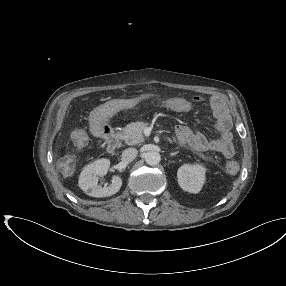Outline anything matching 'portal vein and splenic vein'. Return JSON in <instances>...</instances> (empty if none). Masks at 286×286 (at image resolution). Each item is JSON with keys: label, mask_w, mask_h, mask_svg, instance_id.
<instances>
[{"label": "portal vein and splenic vein", "mask_w": 286, "mask_h": 286, "mask_svg": "<svg viewBox=\"0 0 286 286\" xmlns=\"http://www.w3.org/2000/svg\"><path fill=\"white\" fill-rule=\"evenodd\" d=\"M146 131L149 133L150 132V129H146ZM169 142L172 143V140L170 138H168Z\"/></svg>", "instance_id": "obj_1"}]
</instances>
